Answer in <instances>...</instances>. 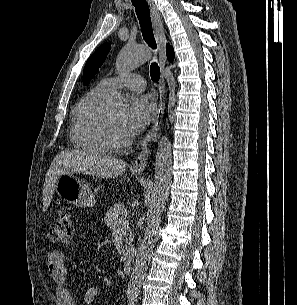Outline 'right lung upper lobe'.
Listing matches in <instances>:
<instances>
[{"label": "right lung upper lobe", "mask_w": 297, "mask_h": 305, "mask_svg": "<svg viewBox=\"0 0 297 305\" xmlns=\"http://www.w3.org/2000/svg\"><path fill=\"white\" fill-rule=\"evenodd\" d=\"M166 54H167V58L168 60L171 62L174 59V50L173 48L168 44L167 48H166Z\"/></svg>", "instance_id": "right-lung-upper-lobe-1"}]
</instances>
